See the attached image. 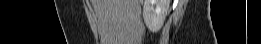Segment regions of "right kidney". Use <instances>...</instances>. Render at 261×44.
Instances as JSON below:
<instances>
[{
	"label": "right kidney",
	"instance_id": "ca27d5eb",
	"mask_svg": "<svg viewBox=\"0 0 261 44\" xmlns=\"http://www.w3.org/2000/svg\"><path fill=\"white\" fill-rule=\"evenodd\" d=\"M170 0H145L143 18L151 32H158L167 16Z\"/></svg>",
	"mask_w": 261,
	"mask_h": 44
}]
</instances>
